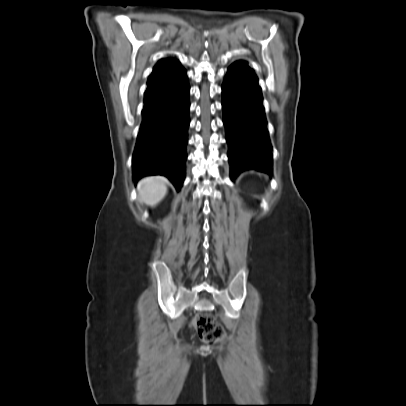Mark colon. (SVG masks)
<instances>
[{"label": "colon", "instance_id": "colon-1", "mask_svg": "<svg viewBox=\"0 0 406 406\" xmlns=\"http://www.w3.org/2000/svg\"><path fill=\"white\" fill-rule=\"evenodd\" d=\"M193 325L199 337L208 343L220 340L225 335L222 325L209 312L197 314L193 320Z\"/></svg>", "mask_w": 406, "mask_h": 406}]
</instances>
